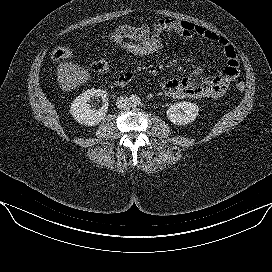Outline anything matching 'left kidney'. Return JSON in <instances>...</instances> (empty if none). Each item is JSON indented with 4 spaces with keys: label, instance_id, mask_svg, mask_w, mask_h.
<instances>
[{
    "label": "left kidney",
    "instance_id": "5707ae66",
    "mask_svg": "<svg viewBox=\"0 0 272 272\" xmlns=\"http://www.w3.org/2000/svg\"><path fill=\"white\" fill-rule=\"evenodd\" d=\"M199 108L191 102H178L171 105L167 110L168 119L177 125H185L193 122L198 116Z\"/></svg>",
    "mask_w": 272,
    "mask_h": 272
}]
</instances>
